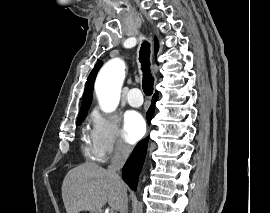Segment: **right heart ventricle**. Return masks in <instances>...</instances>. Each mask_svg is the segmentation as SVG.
<instances>
[{
	"label": "right heart ventricle",
	"instance_id": "1",
	"mask_svg": "<svg viewBox=\"0 0 270 213\" xmlns=\"http://www.w3.org/2000/svg\"><path fill=\"white\" fill-rule=\"evenodd\" d=\"M81 149L84 156L89 160H99L98 153L93 141V128L89 125L84 127L82 131V144Z\"/></svg>",
	"mask_w": 270,
	"mask_h": 213
}]
</instances>
